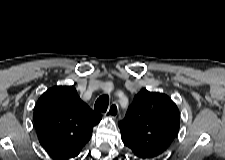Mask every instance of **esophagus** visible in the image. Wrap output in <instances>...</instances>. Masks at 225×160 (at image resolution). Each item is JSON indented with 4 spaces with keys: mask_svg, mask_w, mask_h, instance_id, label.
<instances>
[{
    "mask_svg": "<svg viewBox=\"0 0 225 160\" xmlns=\"http://www.w3.org/2000/svg\"><path fill=\"white\" fill-rule=\"evenodd\" d=\"M118 104L116 102H113L107 112H106V115L109 116V117H112V118H115L118 114Z\"/></svg>",
    "mask_w": 225,
    "mask_h": 160,
    "instance_id": "34e87169",
    "label": "esophagus"
}]
</instances>
